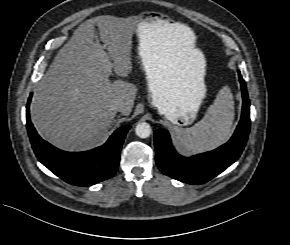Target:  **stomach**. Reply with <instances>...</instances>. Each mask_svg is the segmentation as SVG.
Masks as SVG:
<instances>
[{
    "label": "stomach",
    "instance_id": "0dacf381",
    "mask_svg": "<svg viewBox=\"0 0 290 245\" xmlns=\"http://www.w3.org/2000/svg\"><path fill=\"white\" fill-rule=\"evenodd\" d=\"M168 21L149 13L138 23V53L146 75L151 105L174 126L190 125L197 117L206 95L205 59L201 52L193 55L187 69L164 40L163 27Z\"/></svg>",
    "mask_w": 290,
    "mask_h": 245
}]
</instances>
